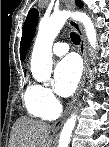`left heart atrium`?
<instances>
[{
  "label": "left heart atrium",
  "mask_w": 109,
  "mask_h": 147,
  "mask_svg": "<svg viewBox=\"0 0 109 147\" xmlns=\"http://www.w3.org/2000/svg\"><path fill=\"white\" fill-rule=\"evenodd\" d=\"M81 65L75 55H69L61 60L54 70V88L58 95L70 96L79 81Z\"/></svg>",
  "instance_id": "1"
}]
</instances>
